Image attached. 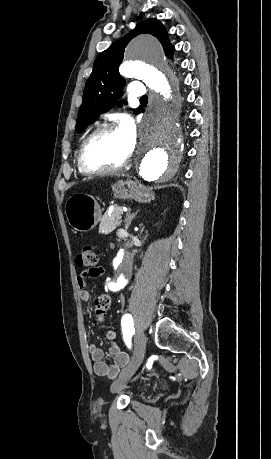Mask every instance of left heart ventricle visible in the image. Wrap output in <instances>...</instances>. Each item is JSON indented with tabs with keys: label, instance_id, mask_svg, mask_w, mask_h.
Wrapping results in <instances>:
<instances>
[{
	"label": "left heart ventricle",
	"instance_id": "left-heart-ventricle-1",
	"mask_svg": "<svg viewBox=\"0 0 271 459\" xmlns=\"http://www.w3.org/2000/svg\"><path fill=\"white\" fill-rule=\"evenodd\" d=\"M130 152L127 140L118 130L94 139L87 148V158L95 164L116 162L123 159Z\"/></svg>",
	"mask_w": 271,
	"mask_h": 459
}]
</instances>
